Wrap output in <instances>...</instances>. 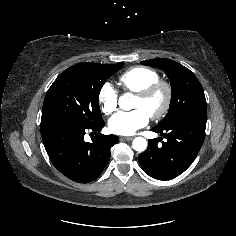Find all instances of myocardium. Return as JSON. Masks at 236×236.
<instances>
[{
    "instance_id": "1",
    "label": "myocardium",
    "mask_w": 236,
    "mask_h": 236,
    "mask_svg": "<svg viewBox=\"0 0 236 236\" xmlns=\"http://www.w3.org/2000/svg\"><path fill=\"white\" fill-rule=\"evenodd\" d=\"M157 92L163 93L164 100L160 110L150 115L154 120L163 118L170 110L173 98V88L171 83L166 80H158L137 92V96L142 99H148Z\"/></svg>"
}]
</instances>
